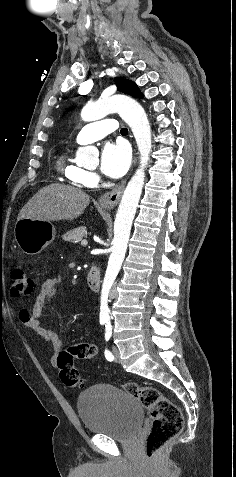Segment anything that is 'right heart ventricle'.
I'll return each mask as SVG.
<instances>
[{"mask_svg":"<svg viewBox=\"0 0 236 477\" xmlns=\"http://www.w3.org/2000/svg\"><path fill=\"white\" fill-rule=\"evenodd\" d=\"M59 170L73 185H87L89 172L84 168L71 162L67 157H62L60 159Z\"/></svg>","mask_w":236,"mask_h":477,"instance_id":"1","label":"right heart ventricle"}]
</instances>
